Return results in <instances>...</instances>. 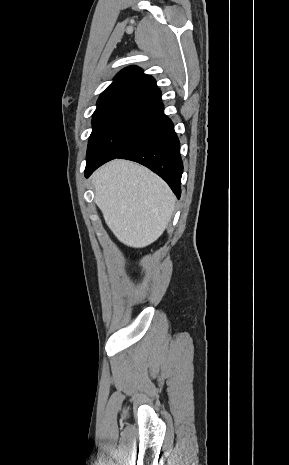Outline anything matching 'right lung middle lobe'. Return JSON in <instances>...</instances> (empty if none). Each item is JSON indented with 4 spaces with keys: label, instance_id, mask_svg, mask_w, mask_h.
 I'll use <instances>...</instances> for the list:
<instances>
[{
    "label": "right lung middle lobe",
    "instance_id": "1",
    "mask_svg": "<svg viewBox=\"0 0 289 465\" xmlns=\"http://www.w3.org/2000/svg\"><path fill=\"white\" fill-rule=\"evenodd\" d=\"M161 105L126 103L93 114L86 161L112 160L163 114Z\"/></svg>",
    "mask_w": 289,
    "mask_h": 465
}]
</instances>
